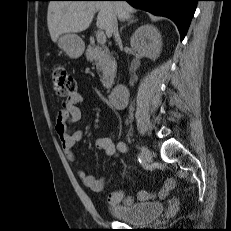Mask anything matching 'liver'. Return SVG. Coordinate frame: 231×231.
Segmentation results:
<instances>
[{
  "mask_svg": "<svg viewBox=\"0 0 231 231\" xmlns=\"http://www.w3.org/2000/svg\"><path fill=\"white\" fill-rule=\"evenodd\" d=\"M97 12V27L105 30L107 37H111L113 16L128 20L135 10L125 1H50L47 25L52 41L56 42L64 33L86 30Z\"/></svg>",
  "mask_w": 231,
  "mask_h": 231,
  "instance_id": "obj_1",
  "label": "liver"
}]
</instances>
